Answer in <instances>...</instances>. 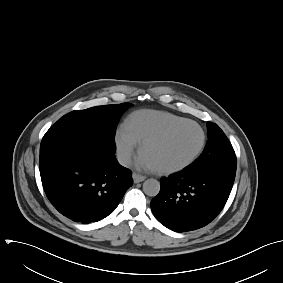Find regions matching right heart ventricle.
Returning a JSON list of instances; mask_svg holds the SVG:
<instances>
[{"instance_id": "1", "label": "right heart ventricle", "mask_w": 283, "mask_h": 283, "mask_svg": "<svg viewBox=\"0 0 283 283\" xmlns=\"http://www.w3.org/2000/svg\"><path fill=\"white\" fill-rule=\"evenodd\" d=\"M182 120L185 119L169 112L144 109L128 115L124 121V127L132 138L140 143L145 138Z\"/></svg>"}]
</instances>
